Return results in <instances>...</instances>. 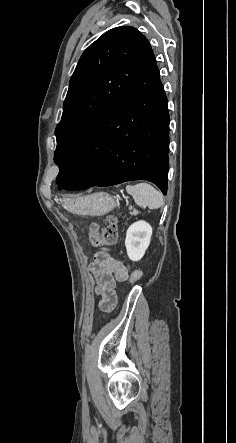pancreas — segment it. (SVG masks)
<instances>
[{
    "label": "pancreas",
    "mask_w": 236,
    "mask_h": 443,
    "mask_svg": "<svg viewBox=\"0 0 236 443\" xmlns=\"http://www.w3.org/2000/svg\"><path fill=\"white\" fill-rule=\"evenodd\" d=\"M129 210H130V214L131 215H137L138 214V210H136V209H134L132 207H129Z\"/></svg>",
    "instance_id": "obj_1"
}]
</instances>
